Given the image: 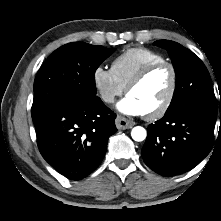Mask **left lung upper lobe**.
I'll return each mask as SVG.
<instances>
[{
    "label": "left lung upper lobe",
    "mask_w": 221,
    "mask_h": 221,
    "mask_svg": "<svg viewBox=\"0 0 221 221\" xmlns=\"http://www.w3.org/2000/svg\"><path fill=\"white\" fill-rule=\"evenodd\" d=\"M155 45L165 48L172 59L176 73V88L166 112L187 104H196L217 113L209 72L203 62L192 51L169 40H158Z\"/></svg>",
    "instance_id": "1"
}]
</instances>
